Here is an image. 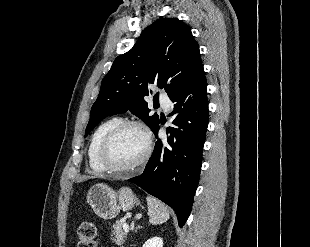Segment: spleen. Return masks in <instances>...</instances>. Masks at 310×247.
Instances as JSON below:
<instances>
[{
  "instance_id": "3e777b00",
  "label": "spleen",
  "mask_w": 310,
  "mask_h": 247,
  "mask_svg": "<svg viewBox=\"0 0 310 247\" xmlns=\"http://www.w3.org/2000/svg\"><path fill=\"white\" fill-rule=\"evenodd\" d=\"M147 204H148L149 222L152 225L162 224L169 219L170 216L169 212L162 202L151 196H148Z\"/></svg>"
}]
</instances>
